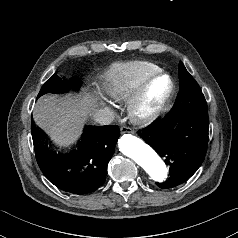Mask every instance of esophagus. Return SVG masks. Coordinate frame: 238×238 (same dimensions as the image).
Returning a JSON list of instances; mask_svg holds the SVG:
<instances>
[{"mask_svg":"<svg viewBox=\"0 0 238 238\" xmlns=\"http://www.w3.org/2000/svg\"><path fill=\"white\" fill-rule=\"evenodd\" d=\"M120 132H121L122 134H124V133H132L133 130H132L130 127H128V126H122V127L120 128Z\"/></svg>","mask_w":238,"mask_h":238,"instance_id":"obj_1","label":"esophagus"}]
</instances>
